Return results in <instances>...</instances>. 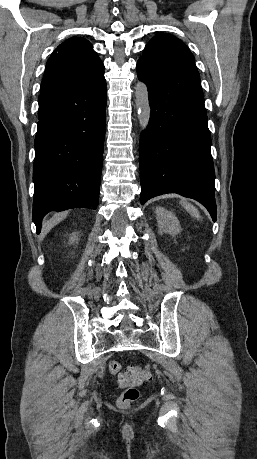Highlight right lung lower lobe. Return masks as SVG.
Listing matches in <instances>:
<instances>
[{
  "label": "right lung lower lobe",
  "instance_id": "obj_1",
  "mask_svg": "<svg viewBox=\"0 0 257 459\" xmlns=\"http://www.w3.org/2000/svg\"><path fill=\"white\" fill-rule=\"evenodd\" d=\"M106 103L104 75L39 96L33 167L37 233L50 211L97 208Z\"/></svg>",
  "mask_w": 257,
  "mask_h": 459
}]
</instances>
